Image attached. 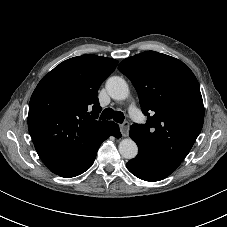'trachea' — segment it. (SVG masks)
<instances>
[{"mask_svg":"<svg viewBox=\"0 0 227 227\" xmlns=\"http://www.w3.org/2000/svg\"><path fill=\"white\" fill-rule=\"evenodd\" d=\"M124 114L121 111H114L112 108H106L103 110L100 119H113L118 123H123Z\"/></svg>","mask_w":227,"mask_h":227,"instance_id":"3493384b","label":"trachea"}]
</instances>
